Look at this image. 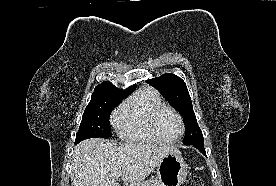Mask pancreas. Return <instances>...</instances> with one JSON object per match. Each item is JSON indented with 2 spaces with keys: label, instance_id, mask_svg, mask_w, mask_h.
Here are the masks:
<instances>
[{
  "label": "pancreas",
  "instance_id": "1",
  "mask_svg": "<svg viewBox=\"0 0 276 186\" xmlns=\"http://www.w3.org/2000/svg\"><path fill=\"white\" fill-rule=\"evenodd\" d=\"M138 186H161V184L158 179H155V180L152 179V180L145 181Z\"/></svg>",
  "mask_w": 276,
  "mask_h": 186
}]
</instances>
